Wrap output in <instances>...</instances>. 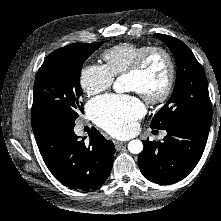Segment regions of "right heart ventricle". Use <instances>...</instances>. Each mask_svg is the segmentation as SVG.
<instances>
[{
    "instance_id": "1",
    "label": "right heart ventricle",
    "mask_w": 221,
    "mask_h": 221,
    "mask_svg": "<svg viewBox=\"0 0 221 221\" xmlns=\"http://www.w3.org/2000/svg\"><path fill=\"white\" fill-rule=\"evenodd\" d=\"M147 47L148 45L128 42L112 46L102 53L104 66L113 77L122 76Z\"/></svg>"
}]
</instances>
